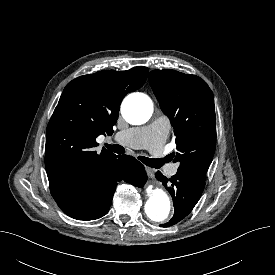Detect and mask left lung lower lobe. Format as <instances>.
<instances>
[{
    "mask_svg": "<svg viewBox=\"0 0 275 275\" xmlns=\"http://www.w3.org/2000/svg\"><path fill=\"white\" fill-rule=\"evenodd\" d=\"M155 176L171 194L175 209L172 219L161 226H172L192 211L201 197L205 179L191 173L178 171L169 179L163 176L160 171H157Z\"/></svg>",
    "mask_w": 275,
    "mask_h": 275,
    "instance_id": "left-lung-lower-lobe-1",
    "label": "left lung lower lobe"
}]
</instances>
